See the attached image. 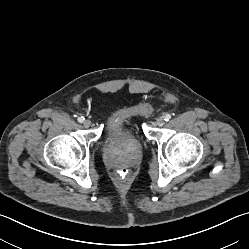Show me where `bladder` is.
Here are the masks:
<instances>
[{"label":"bladder","mask_w":249,"mask_h":249,"mask_svg":"<svg viewBox=\"0 0 249 249\" xmlns=\"http://www.w3.org/2000/svg\"><path fill=\"white\" fill-rule=\"evenodd\" d=\"M149 115V108L145 103L139 102L125 107L116 112L106 124L107 135L104 138L105 144H110L114 141L113 132L122 126H128L132 132L133 138L138 144H141V140L135 133V127L132 125V121L135 118L146 117Z\"/></svg>","instance_id":"obj_1"}]
</instances>
